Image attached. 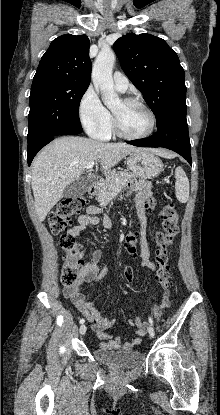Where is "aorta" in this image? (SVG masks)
Segmentation results:
<instances>
[{"label":"aorta","instance_id":"762f6f07","mask_svg":"<svg viewBox=\"0 0 220 415\" xmlns=\"http://www.w3.org/2000/svg\"><path fill=\"white\" fill-rule=\"evenodd\" d=\"M114 63V52L111 49H103L97 55L92 69L94 87L100 91L102 100L107 107L119 102L112 78Z\"/></svg>","mask_w":220,"mask_h":415}]
</instances>
